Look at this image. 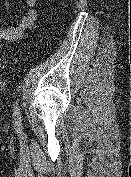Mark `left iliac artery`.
<instances>
[{
	"instance_id": "1",
	"label": "left iliac artery",
	"mask_w": 131,
	"mask_h": 177,
	"mask_svg": "<svg viewBox=\"0 0 131 177\" xmlns=\"http://www.w3.org/2000/svg\"><path fill=\"white\" fill-rule=\"evenodd\" d=\"M13 111H14L13 115H14L15 124L21 125V114H20V107L18 104V100L15 103Z\"/></svg>"
}]
</instances>
